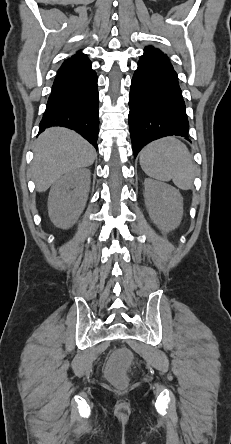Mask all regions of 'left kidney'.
I'll return each instance as SVG.
<instances>
[{"label": "left kidney", "instance_id": "left-kidney-1", "mask_svg": "<svg viewBox=\"0 0 231 444\" xmlns=\"http://www.w3.org/2000/svg\"><path fill=\"white\" fill-rule=\"evenodd\" d=\"M144 199L153 223L167 233L179 226L183 216V198L169 184L150 178L144 180Z\"/></svg>", "mask_w": 231, "mask_h": 444}]
</instances>
